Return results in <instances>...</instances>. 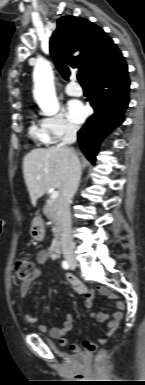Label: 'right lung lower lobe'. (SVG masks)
I'll return each mask as SVG.
<instances>
[{"mask_svg":"<svg viewBox=\"0 0 145 385\" xmlns=\"http://www.w3.org/2000/svg\"><path fill=\"white\" fill-rule=\"evenodd\" d=\"M129 86L125 62L114 71L89 81L91 94L88 101L95 113L78 132V141L81 145L87 144L82 150L90 161L95 162L104 135L123 122L129 103Z\"/></svg>","mask_w":145,"mask_h":385,"instance_id":"98d812e1","label":"right lung lower lobe"}]
</instances>
